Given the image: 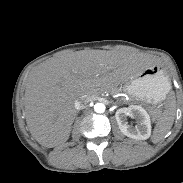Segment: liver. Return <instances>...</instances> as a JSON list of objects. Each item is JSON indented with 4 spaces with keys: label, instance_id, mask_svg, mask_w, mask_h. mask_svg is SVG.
Here are the masks:
<instances>
[{
    "label": "liver",
    "instance_id": "1",
    "mask_svg": "<svg viewBox=\"0 0 183 183\" xmlns=\"http://www.w3.org/2000/svg\"><path fill=\"white\" fill-rule=\"evenodd\" d=\"M149 65L142 56L115 50L70 52L39 64L29 73L24 94L31 135L47 148L64 144L76 117V100L122 84Z\"/></svg>",
    "mask_w": 183,
    "mask_h": 183
}]
</instances>
